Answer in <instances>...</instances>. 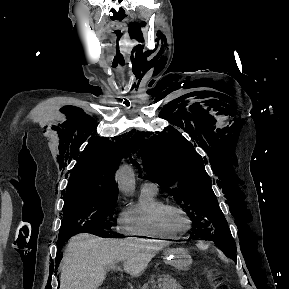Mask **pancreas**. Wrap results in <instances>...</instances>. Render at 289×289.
Here are the masks:
<instances>
[{
  "mask_svg": "<svg viewBox=\"0 0 289 289\" xmlns=\"http://www.w3.org/2000/svg\"><path fill=\"white\" fill-rule=\"evenodd\" d=\"M148 284H151L153 289H155L156 286L159 289H183L182 286L170 276H161L157 278V280L151 279L142 289H149Z\"/></svg>",
  "mask_w": 289,
  "mask_h": 289,
  "instance_id": "cf45deb5",
  "label": "pancreas"
}]
</instances>
